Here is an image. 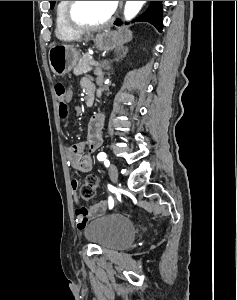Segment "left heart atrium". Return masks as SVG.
Wrapping results in <instances>:
<instances>
[{"instance_id":"39dd6f15","label":"left heart atrium","mask_w":237,"mask_h":300,"mask_svg":"<svg viewBox=\"0 0 237 300\" xmlns=\"http://www.w3.org/2000/svg\"><path fill=\"white\" fill-rule=\"evenodd\" d=\"M109 2L111 4L112 8L115 9L118 4V1H109Z\"/></svg>"}]
</instances>
